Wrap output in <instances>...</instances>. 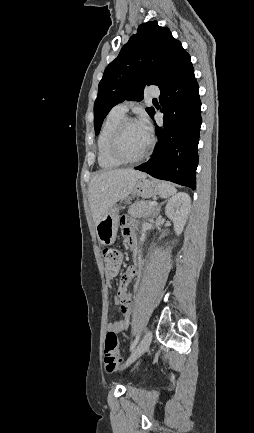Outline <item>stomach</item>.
<instances>
[{"mask_svg":"<svg viewBox=\"0 0 254 433\" xmlns=\"http://www.w3.org/2000/svg\"><path fill=\"white\" fill-rule=\"evenodd\" d=\"M159 193L158 184L154 181L142 177L136 180L132 190V196L142 198H151ZM119 221V206H112L108 212L96 225L98 240L104 246L111 245L115 242Z\"/></svg>","mask_w":254,"mask_h":433,"instance_id":"obj_1","label":"stomach"}]
</instances>
